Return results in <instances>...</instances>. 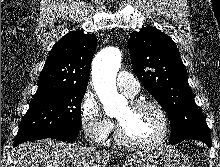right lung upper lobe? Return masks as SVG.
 Returning a JSON list of instances; mask_svg holds the SVG:
<instances>
[{
  "label": "right lung upper lobe",
  "mask_w": 220,
  "mask_h": 167,
  "mask_svg": "<svg viewBox=\"0 0 220 167\" xmlns=\"http://www.w3.org/2000/svg\"><path fill=\"white\" fill-rule=\"evenodd\" d=\"M96 49V35L71 31L52 48L40 74L33 99L65 88H87L91 60Z\"/></svg>",
  "instance_id": "obj_1"
}]
</instances>
